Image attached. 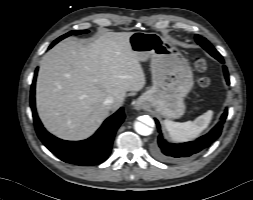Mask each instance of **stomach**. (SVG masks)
I'll return each mask as SVG.
<instances>
[{"label":"stomach","mask_w":253,"mask_h":200,"mask_svg":"<svg viewBox=\"0 0 253 200\" xmlns=\"http://www.w3.org/2000/svg\"><path fill=\"white\" fill-rule=\"evenodd\" d=\"M129 44L140 62L151 59L153 85L140 99L165 118L181 117L185 112L184 97L194 84L188 61L157 33L134 32Z\"/></svg>","instance_id":"0dacf381"}]
</instances>
